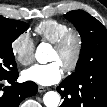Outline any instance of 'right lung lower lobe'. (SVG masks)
Returning <instances> with one entry per match:
<instances>
[{"mask_svg":"<svg viewBox=\"0 0 107 107\" xmlns=\"http://www.w3.org/2000/svg\"><path fill=\"white\" fill-rule=\"evenodd\" d=\"M17 78L18 71L5 79H0V107H18L23 99L37 93L36 83L32 81L18 83ZM5 83H10L11 86L5 87Z\"/></svg>","mask_w":107,"mask_h":107,"instance_id":"98d812e1","label":"right lung lower lobe"}]
</instances>
